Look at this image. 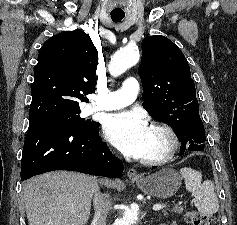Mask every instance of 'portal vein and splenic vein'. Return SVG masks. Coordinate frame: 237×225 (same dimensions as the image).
<instances>
[{
    "instance_id": "18ae733b",
    "label": "portal vein and splenic vein",
    "mask_w": 237,
    "mask_h": 225,
    "mask_svg": "<svg viewBox=\"0 0 237 225\" xmlns=\"http://www.w3.org/2000/svg\"><path fill=\"white\" fill-rule=\"evenodd\" d=\"M164 207H165V205L155 204V205H153V210L159 211V210L163 209Z\"/></svg>"
}]
</instances>
